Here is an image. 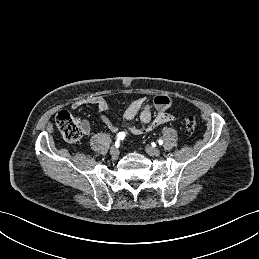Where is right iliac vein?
I'll list each match as a JSON object with an SVG mask.
<instances>
[{
	"label": "right iliac vein",
	"mask_w": 259,
	"mask_h": 259,
	"mask_svg": "<svg viewBox=\"0 0 259 259\" xmlns=\"http://www.w3.org/2000/svg\"><path fill=\"white\" fill-rule=\"evenodd\" d=\"M110 154H111V156H112L113 159H117L118 156H119V150H118V148L115 147V146L111 147V149H110Z\"/></svg>",
	"instance_id": "63e3f726"
}]
</instances>
